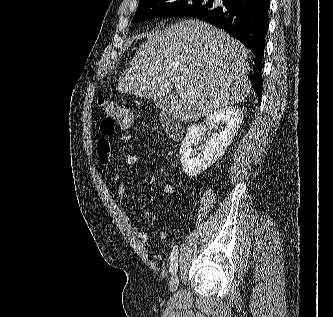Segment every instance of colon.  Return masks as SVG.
I'll list each match as a JSON object with an SVG mask.
<instances>
[{"label":"colon","instance_id":"1","mask_svg":"<svg viewBox=\"0 0 333 317\" xmlns=\"http://www.w3.org/2000/svg\"><path fill=\"white\" fill-rule=\"evenodd\" d=\"M104 116L100 121V129L104 135H112L115 130H127L133 122L131 111L118 103H108L102 107Z\"/></svg>","mask_w":333,"mask_h":317}]
</instances>
